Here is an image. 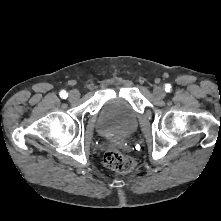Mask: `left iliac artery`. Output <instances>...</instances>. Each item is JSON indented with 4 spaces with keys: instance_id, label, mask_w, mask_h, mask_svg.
Here are the masks:
<instances>
[{
    "instance_id": "1",
    "label": "left iliac artery",
    "mask_w": 221,
    "mask_h": 221,
    "mask_svg": "<svg viewBox=\"0 0 221 221\" xmlns=\"http://www.w3.org/2000/svg\"><path fill=\"white\" fill-rule=\"evenodd\" d=\"M166 91H169V87L168 86L166 87Z\"/></svg>"
}]
</instances>
